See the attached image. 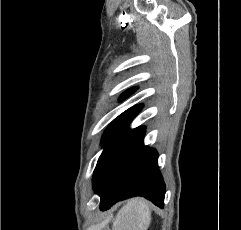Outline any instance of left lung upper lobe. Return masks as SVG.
I'll list each match as a JSON object with an SVG mask.
<instances>
[{
	"label": "left lung upper lobe",
	"mask_w": 241,
	"mask_h": 230,
	"mask_svg": "<svg viewBox=\"0 0 241 230\" xmlns=\"http://www.w3.org/2000/svg\"><path fill=\"white\" fill-rule=\"evenodd\" d=\"M136 88L128 89L123 93L120 100L127 98L129 95L134 93ZM142 105H136L127 111L123 112L120 116H118L106 129L105 134L103 135L101 144L106 143L110 138H112L115 134L125 128L134 117L141 111Z\"/></svg>",
	"instance_id": "5c2ea615"
}]
</instances>
